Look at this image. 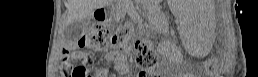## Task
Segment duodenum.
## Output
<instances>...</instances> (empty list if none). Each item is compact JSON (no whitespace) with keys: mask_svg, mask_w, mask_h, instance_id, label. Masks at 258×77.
<instances>
[{"mask_svg":"<svg viewBox=\"0 0 258 77\" xmlns=\"http://www.w3.org/2000/svg\"><path fill=\"white\" fill-rule=\"evenodd\" d=\"M101 12L103 13V12H104V10H103V9H101Z\"/></svg>","mask_w":258,"mask_h":77,"instance_id":"duodenum-1","label":"duodenum"}]
</instances>
